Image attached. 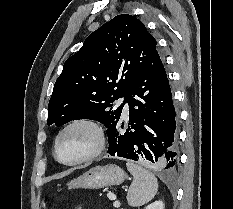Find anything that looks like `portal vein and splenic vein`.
Listing matches in <instances>:
<instances>
[{
	"label": "portal vein and splenic vein",
	"mask_w": 233,
	"mask_h": 209,
	"mask_svg": "<svg viewBox=\"0 0 233 209\" xmlns=\"http://www.w3.org/2000/svg\"><path fill=\"white\" fill-rule=\"evenodd\" d=\"M107 197H108L110 200H116V195L113 194V193H108V194H107ZM114 206H115V207H119V206H120V202H119V201H115V202H114Z\"/></svg>",
	"instance_id": "obj_1"
}]
</instances>
